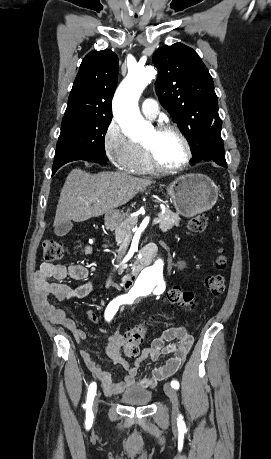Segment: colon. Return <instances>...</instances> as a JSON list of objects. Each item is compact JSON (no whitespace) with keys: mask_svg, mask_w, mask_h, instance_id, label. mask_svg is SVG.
<instances>
[{"mask_svg":"<svg viewBox=\"0 0 271 459\" xmlns=\"http://www.w3.org/2000/svg\"><path fill=\"white\" fill-rule=\"evenodd\" d=\"M209 222L206 214H198L193 217L189 223L188 228L192 232H203ZM66 254L65 246L56 239H46L43 242L42 255L45 261L53 262L60 260ZM217 267L224 269L227 265V258L224 251L220 250V254L216 261ZM206 289L214 296H219L223 293L225 288V278L221 274L210 275L205 279ZM166 301L169 304H180L189 310L194 307L193 294L191 292L181 291L174 288L166 295ZM146 337L144 326H135L126 331L124 334V352L128 357H136L139 354L140 345Z\"/></svg>","mask_w":271,"mask_h":459,"instance_id":"colon-1","label":"colon"}]
</instances>
